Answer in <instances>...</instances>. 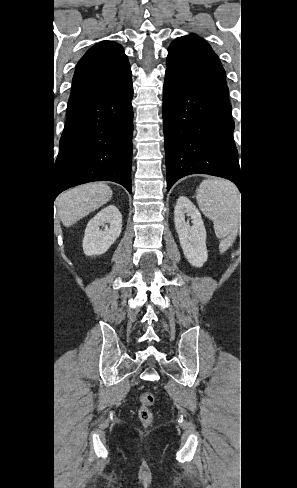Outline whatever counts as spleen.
<instances>
[{
    "label": "spleen",
    "mask_w": 297,
    "mask_h": 488,
    "mask_svg": "<svg viewBox=\"0 0 297 488\" xmlns=\"http://www.w3.org/2000/svg\"><path fill=\"white\" fill-rule=\"evenodd\" d=\"M239 201L236 187L228 181L204 180L197 190L199 208L213 221L218 238L232 233L239 211Z\"/></svg>",
    "instance_id": "3e777b00"
}]
</instances>
